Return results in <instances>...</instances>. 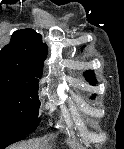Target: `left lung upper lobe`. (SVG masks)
<instances>
[{"instance_id":"5c2ea615","label":"left lung upper lobe","mask_w":124,"mask_h":149,"mask_svg":"<svg viewBox=\"0 0 124 149\" xmlns=\"http://www.w3.org/2000/svg\"><path fill=\"white\" fill-rule=\"evenodd\" d=\"M85 77H87V80L91 83V84H95V77H94V73L93 71H87L85 73ZM94 97V96H93Z\"/></svg>"}]
</instances>
